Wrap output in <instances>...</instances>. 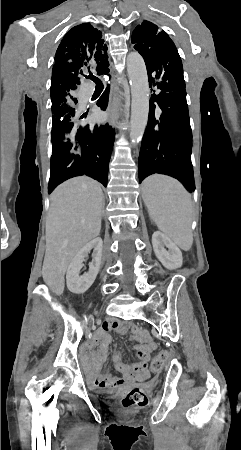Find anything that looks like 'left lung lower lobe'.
<instances>
[{"instance_id":"obj_1","label":"left lung lower lobe","mask_w":241,"mask_h":450,"mask_svg":"<svg viewBox=\"0 0 241 450\" xmlns=\"http://www.w3.org/2000/svg\"><path fill=\"white\" fill-rule=\"evenodd\" d=\"M145 63L149 86H156L159 93L152 94L150 99L148 124L139 154V181L154 173L167 174L190 192L194 191L192 135L183 66L174 43H168L158 58ZM154 102L158 103L159 112H155Z\"/></svg>"}]
</instances>
